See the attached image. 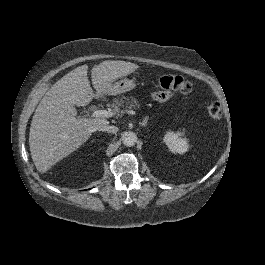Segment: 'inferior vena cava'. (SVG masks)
Masks as SVG:
<instances>
[{
  "instance_id": "inferior-vena-cava-1",
  "label": "inferior vena cava",
  "mask_w": 265,
  "mask_h": 265,
  "mask_svg": "<svg viewBox=\"0 0 265 265\" xmlns=\"http://www.w3.org/2000/svg\"><path fill=\"white\" fill-rule=\"evenodd\" d=\"M94 130L106 131L108 133H116L118 131V128L116 126H110L108 125V123H106L96 126Z\"/></svg>"
}]
</instances>
